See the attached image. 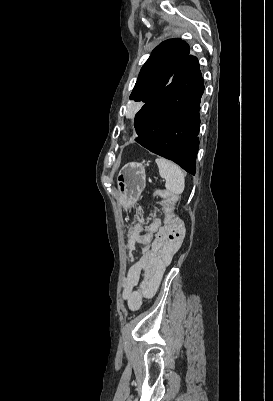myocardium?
<instances>
[{"mask_svg":"<svg viewBox=\"0 0 273 401\" xmlns=\"http://www.w3.org/2000/svg\"><path fill=\"white\" fill-rule=\"evenodd\" d=\"M124 133L127 137H131V135L133 134V129L128 127L125 129Z\"/></svg>","mask_w":273,"mask_h":401,"instance_id":"obj_1","label":"myocardium"}]
</instances>
